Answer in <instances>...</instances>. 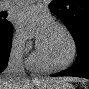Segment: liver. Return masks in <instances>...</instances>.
I'll return each instance as SVG.
<instances>
[{"instance_id":"1","label":"liver","mask_w":89,"mask_h":89,"mask_svg":"<svg viewBox=\"0 0 89 89\" xmlns=\"http://www.w3.org/2000/svg\"><path fill=\"white\" fill-rule=\"evenodd\" d=\"M11 81L14 84L15 89H29V87H32L33 85H36L37 87L44 86L47 84H62V83H67L70 81H79L78 79L75 78H45L41 79L38 81H34L32 84L28 85L27 82L28 80L25 77L21 76H10L8 74H3L1 76V89H8L7 87V82Z\"/></svg>"}]
</instances>
